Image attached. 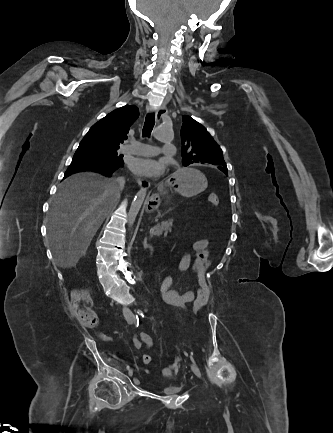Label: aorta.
<instances>
[{"instance_id":"1","label":"aorta","mask_w":333,"mask_h":433,"mask_svg":"<svg viewBox=\"0 0 333 433\" xmlns=\"http://www.w3.org/2000/svg\"><path fill=\"white\" fill-rule=\"evenodd\" d=\"M153 137L156 141L160 143H171L174 139V134L170 126L160 125L153 131ZM146 194V188L140 189L131 203L127 219L129 229L135 222V219L144 202Z\"/></svg>"}]
</instances>
